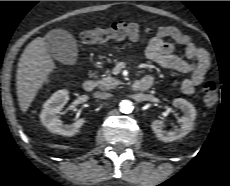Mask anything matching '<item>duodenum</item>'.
<instances>
[{"label": "duodenum", "instance_id": "1", "mask_svg": "<svg viewBox=\"0 0 230 186\" xmlns=\"http://www.w3.org/2000/svg\"><path fill=\"white\" fill-rule=\"evenodd\" d=\"M153 84L151 77H143L133 82L132 89L135 91H144L150 88ZM96 83L92 79H88L83 83V89L86 92H91L95 89Z\"/></svg>", "mask_w": 230, "mask_h": 186}]
</instances>
